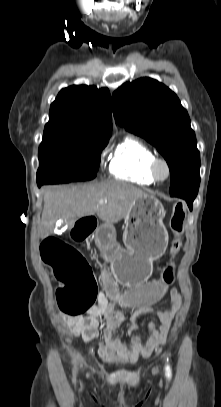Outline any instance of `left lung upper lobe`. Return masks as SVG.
I'll list each match as a JSON object with an SVG mask.
<instances>
[{
	"label": "left lung upper lobe",
	"instance_id": "5c2ea615",
	"mask_svg": "<svg viewBox=\"0 0 221 407\" xmlns=\"http://www.w3.org/2000/svg\"><path fill=\"white\" fill-rule=\"evenodd\" d=\"M116 122L152 145L166 159L169 192L200 180V154L190 118L176 94L151 78L128 82L114 91Z\"/></svg>",
	"mask_w": 221,
	"mask_h": 407
}]
</instances>
